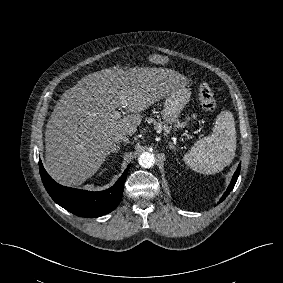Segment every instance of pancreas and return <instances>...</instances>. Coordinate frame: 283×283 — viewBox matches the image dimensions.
<instances>
[{
    "mask_svg": "<svg viewBox=\"0 0 283 283\" xmlns=\"http://www.w3.org/2000/svg\"><path fill=\"white\" fill-rule=\"evenodd\" d=\"M187 120H189V118H187ZM146 122L147 123H152L155 127L156 130H159V131H164L165 133H169L171 131L170 127H168L167 125H163L162 122H157L155 121L153 118H146ZM187 125V123H182V124H177L176 127L177 128H182V127H185Z\"/></svg>",
    "mask_w": 283,
    "mask_h": 283,
    "instance_id": "pancreas-1",
    "label": "pancreas"
}]
</instances>
